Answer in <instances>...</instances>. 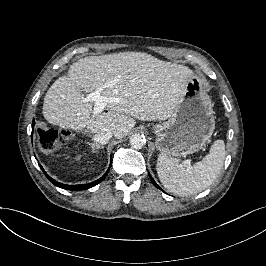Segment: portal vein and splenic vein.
<instances>
[{"mask_svg":"<svg viewBox=\"0 0 266 266\" xmlns=\"http://www.w3.org/2000/svg\"><path fill=\"white\" fill-rule=\"evenodd\" d=\"M115 83L111 82L108 84H104L101 88H99L98 90L89 93L86 98H84L85 102H94V108H93V114H100L104 111L105 107L107 106L108 102H119L120 99L116 98V97H111V98H106L104 96L101 95V91L104 90L107 87L113 86ZM185 165H190L191 160H185L183 162Z\"/></svg>","mask_w":266,"mask_h":266,"instance_id":"18ae733b","label":"portal vein and splenic vein"}]
</instances>
